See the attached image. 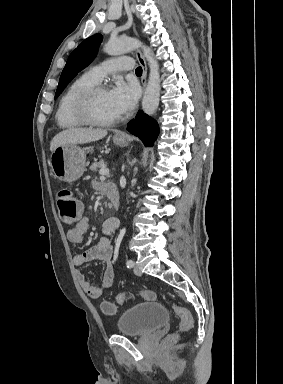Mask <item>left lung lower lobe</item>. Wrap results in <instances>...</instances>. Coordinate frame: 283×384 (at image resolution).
<instances>
[{
	"label": "left lung lower lobe",
	"instance_id": "left-lung-lower-lobe-1",
	"mask_svg": "<svg viewBox=\"0 0 283 384\" xmlns=\"http://www.w3.org/2000/svg\"><path fill=\"white\" fill-rule=\"evenodd\" d=\"M127 130L138 136L146 146L153 145L159 134L157 122L142 111H139L136 118L128 123Z\"/></svg>",
	"mask_w": 283,
	"mask_h": 384
}]
</instances>
